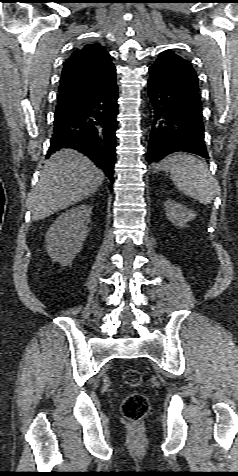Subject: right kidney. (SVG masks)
<instances>
[{"label": "right kidney", "mask_w": 238, "mask_h": 476, "mask_svg": "<svg viewBox=\"0 0 238 476\" xmlns=\"http://www.w3.org/2000/svg\"><path fill=\"white\" fill-rule=\"evenodd\" d=\"M92 208L86 204L60 215L46 234L47 252L52 261L69 265L80 252L89 232Z\"/></svg>", "instance_id": "right-kidney-1"}]
</instances>
